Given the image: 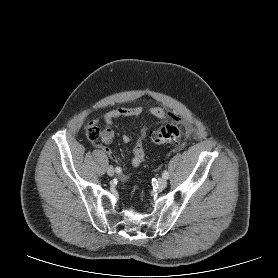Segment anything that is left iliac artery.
I'll list each match as a JSON object with an SVG mask.
<instances>
[{"label":"left iliac artery","mask_w":278,"mask_h":278,"mask_svg":"<svg viewBox=\"0 0 278 278\" xmlns=\"http://www.w3.org/2000/svg\"><path fill=\"white\" fill-rule=\"evenodd\" d=\"M168 176H169L168 172L166 170H164L162 173V177L165 179H168Z\"/></svg>","instance_id":"obj_1"}]
</instances>
